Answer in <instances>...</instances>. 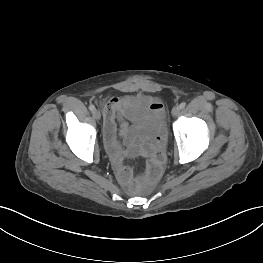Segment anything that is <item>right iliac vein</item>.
I'll use <instances>...</instances> for the list:
<instances>
[{
    "label": "right iliac vein",
    "instance_id": "63e3f726",
    "mask_svg": "<svg viewBox=\"0 0 263 263\" xmlns=\"http://www.w3.org/2000/svg\"><path fill=\"white\" fill-rule=\"evenodd\" d=\"M93 115H94V118H95L96 120H100L101 114H100V112H99L98 110H95V111L93 112Z\"/></svg>",
    "mask_w": 263,
    "mask_h": 263
}]
</instances>
